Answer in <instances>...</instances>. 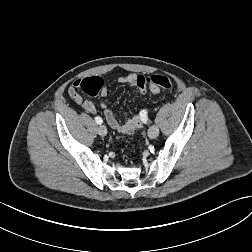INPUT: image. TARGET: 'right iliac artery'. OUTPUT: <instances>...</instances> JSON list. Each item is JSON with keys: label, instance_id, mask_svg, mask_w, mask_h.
<instances>
[{"label": "right iliac artery", "instance_id": "82829eb1", "mask_svg": "<svg viewBox=\"0 0 252 252\" xmlns=\"http://www.w3.org/2000/svg\"><path fill=\"white\" fill-rule=\"evenodd\" d=\"M95 121H96V123L99 124V125H101L102 122H103L102 118L99 117V116L95 118Z\"/></svg>", "mask_w": 252, "mask_h": 252}]
</instances>
